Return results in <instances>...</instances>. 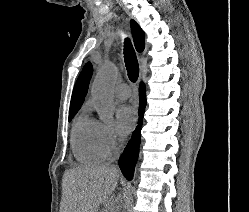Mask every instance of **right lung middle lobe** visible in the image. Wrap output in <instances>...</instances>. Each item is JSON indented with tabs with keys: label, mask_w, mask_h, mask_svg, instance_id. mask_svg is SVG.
I'll use <instances>...</instances> for the list:
<instances>
[{
	"label": "right lung middle lobe",
	"mask_w": 249,
	"mask_h": 212,
	"mask_svg": "<svg viewBox=\"0 0 249 212\" xmlns=\"http://www.w3.org/2000/svg\"><path fill=\"white\" fill-rule=\"evenodd\" d=\"M77 112H78V110H70L69 111V121H71L73 119V117L76 115Z\"/></svg>",
	"instance_id": "dd1d6c3e"
}]
</instances>
